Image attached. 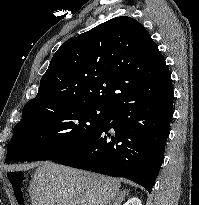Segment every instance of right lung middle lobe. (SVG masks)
<instances>
[{
  "mask_svg": "<svg viewBox=\"0 0 199 205\" xmlns=\"http://www.w3.org/2000/svg\"><path fill=\"white\" fill-rule=\"evenodd\" d=\"M108 114L106 108L74 103L24 107L7 145L5 162L62 157L101 130Z\"/></svg>",
  "mask_w": 199,
  "mask_h": 205,
  "instance_id": "dd1d6c3e",
  "label": "right lung middle lobe"
}]
</instances>
